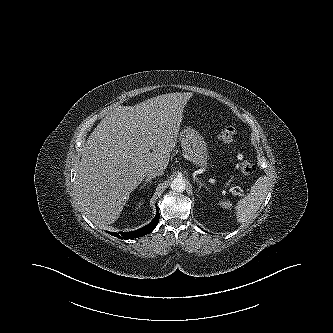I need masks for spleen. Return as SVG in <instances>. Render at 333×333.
<instances>
[{
  "label": "spleen",
  "mask_w": 333,
  "mask_h": 333,
  "mask_svg": "<svg viewBox=\"0 0 333 333\" xmlns=\"http://www.w3.org/2000/svg\"><path fill=\"white\" fill-rule=\"evenodd\" d=\"M269 187L270 183L266 176H261L256 180L250 193L239 200L236 205L237 222L248 223L254 219L256 212L265 200ZM220 205L225 208L232 206L230 201H221Z\"/></svg>",
  "instance_id": "3e777b00"
}]
</instances>
